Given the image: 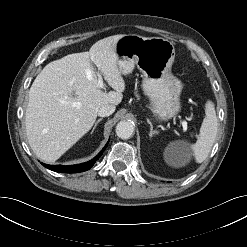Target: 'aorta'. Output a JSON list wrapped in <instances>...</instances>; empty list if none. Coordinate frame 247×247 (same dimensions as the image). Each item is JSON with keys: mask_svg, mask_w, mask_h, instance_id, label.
Instances as JSON below:
<instances>
[{"mask_svg": "<svg viewBox=\"0 0 247 247\" xmlns=\"http://www.w3.org/2000/svg\"><path fill=\"white\" fill-rule=\"evenodd\" d=\"M116 134L121 139H129L134 134V125L130 121H120L116 126Z\"/></svg>", "mask_w": 247, "mask_h": 247, "instance_id": "aorta-1", "label": "aorta"}]
</instances>
